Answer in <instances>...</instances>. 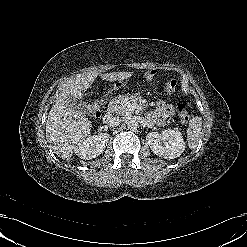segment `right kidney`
Wrapping results in <instances>:
<instances>
[{
    "instance_id": "right-kidney-1",
    "label": "right kidney",
    "mask_w": 247,
    "mask_h": 247,
    "mask_svg": "<svg viewBox=\"0 0 247 247\" xmlns=\"http://www.w3.org/2000/svg\"><path fill=\"white\" fill-rule=\"evenodd\" d=\"M109 138L110 135L107 133L89 136L75 145L74 152L84 160L96 158L105 150Z\"/></svg>"
}]
</instances>
